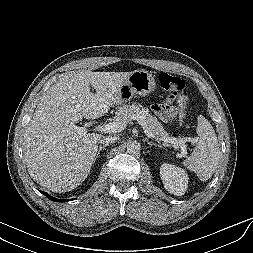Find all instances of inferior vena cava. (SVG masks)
Instances as JSON below:
<instances>
[{
  "label": "inferior vena cava",
  "mask_w": 253,
  "mask_h": 253,
  "mask_svg": "<svg viewBox=\"0 0 253 253\" xmlns=\"http://www.w3.org/2000/svg\"><path fill=\"white\" fill-rule=\"evenodd\" d=\"M117 137L116 136H106V137H102L99 139V143L103 144V145H108V144H112L115 143L117 141Z\"/></svg>",
  "instance_id": "obj_1"
}]
</instances>
